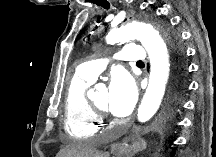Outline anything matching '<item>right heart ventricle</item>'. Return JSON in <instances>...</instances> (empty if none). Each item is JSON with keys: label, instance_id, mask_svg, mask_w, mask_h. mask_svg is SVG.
<instances>
[{"label": "right heart ventricle", "instance_id": "e07e8e85", "mask_svg": "<svg viewBox=\"0 0 216 157\" xmlns=\"http://www.w3.org/2000/svg\"><path fill=\"white\" fill-rule=\"evenodd\" d=\"M92 80L73 74L64 97L65 132L75 138L92 137L98 130L100 116L93 110L87 98V90Z\"/></svg>", "mask_w": 216, "mask_h": 157}]
</instances>
